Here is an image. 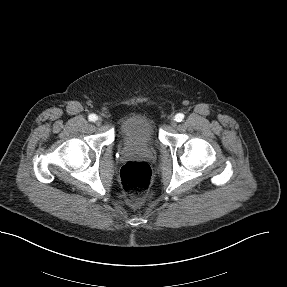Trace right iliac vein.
<instances>
[{"label": "right iliac vein", "mask_w": 287, "mask_h": 287, "mask_svg": "<svg viewBox=\"0 0 287 287\" xmlns=\"http://www.w3.org/2000/svg\"><path fill=\"white\" fill-rule=\"evenodd\" d=\"M96 124H97V125H100V124H101V119H100V118L97 119Z\"/></svg>", "instance_id": "63e3f726"}]
</instances>
